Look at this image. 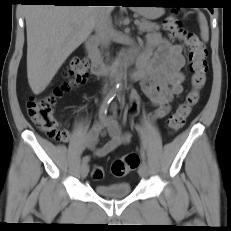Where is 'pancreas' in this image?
<instances>
[{"instance_id":"cf45deb5","label":"pancreas","mask_w":231,"mask_h":231,"mask_svg":"<svg viewBox=\"0 0 231 231\" xmlns=\"http://www.w3.org/2000/svg\"><path fill=\"white\" fill-rule=\"evenodd\" d=\"M138 29L141 33H143V32H152L155 30H159L160 27L156 23H152L145 19H141L138 25Z\"/></svg>"}]
</instances>
